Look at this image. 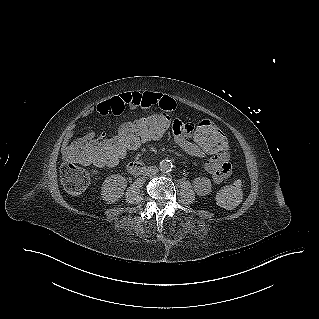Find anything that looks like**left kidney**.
Here are the masks:
<instances>
[{"mask_svg":"<svg viewBox=\"0 0 319 319\" xmlns=\"http://www.w3.org/2000/svg\"><path fill=\"white\" fill-rule=\"evenodd\" d=\"M195 192L200 196H205L211 193V181L208 178H196L193 182Z\"/></svg>","mask_w":319,"mask_h":319,"instance_id":"5707ae66","label":"left kidney"}]
</instances>
